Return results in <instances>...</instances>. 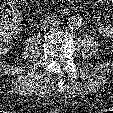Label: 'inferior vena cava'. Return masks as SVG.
Wrapping results in <instances>:
<instances>
[{
    "instance_id": "obj_1",
    "label": "inferior vena cava",
    "mask_w": 113,
    "mask_h": 113,
    "mask_svg": "<svg viewBox=\"0 0 113 113\" xmlns=\"http://www.w3.org/2000/svg\"><path fill=\"white\" fill-rule=\"evenodd\" d=\"M61 24V20L58 16L49 15L43 21L44 29H57Z\"/></svg>"
}]
</instances>
